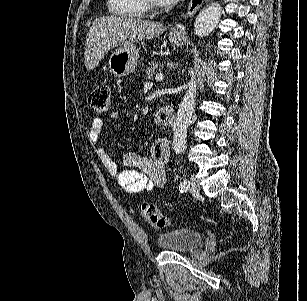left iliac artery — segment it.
Segmentation results:
<instances>
[{
    "instance_id": "obj_1",
    "label": "left iliac artery",
    "mask_w": 307,
    "mask_h": 301,
    "mask_svg": "<svg viewBox=\"0 0 307 301\" xmlns=\"http://www.w3.org/2000/svg\"><path fill=\"white\" fill-rule=\"evenodd\" d=\"M189 186H190V182L187 179H183L180 182L179 189H180L181 192H184V191L188 190Z\"/></svg>"
}]
</instances>
